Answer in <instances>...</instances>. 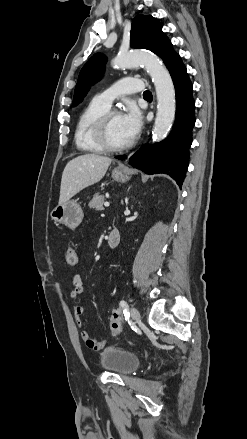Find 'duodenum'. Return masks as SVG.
I'll use <instances>...</instances> for the list:
<instances>
[{
  "instance_id": "410a0bca",
  "label": "duodenum",
  "mask_w": 247,
  "mask_h": 439,
  "mask_svg": "<svg viewBox=\"0 0 247 439\" xmlns=\"http://www.w3.org/2000/svg\"><path fill=\"white\" fill-rule=\"evenodd\" d=\"M121 241V234L116 227L111 228L108 235V245L110 248H116Z\"/></svg>"
}]
</instances>
